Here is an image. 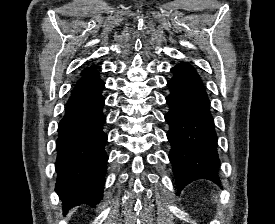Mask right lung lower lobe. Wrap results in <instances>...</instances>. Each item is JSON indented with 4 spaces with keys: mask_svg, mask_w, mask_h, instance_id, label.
Returning a JSON list of instances; mask_svg holds the SVG:
<instances>
[{
    "mask_svg": "<svg viewBox=\"0 0 275 224\" xmlns=\"http://www.w3.org/2000/svg\"><path fill=\"white\" fill-rule=\"evenodd\" d=\"M104 88L98 72L80 78L58 126L55 190L66 210L80 204L95 207L103 198L108 160Z\"/></svg>",
    "mask_w": 275,
    "mask_h": 224,
    "instance_id": "1",
    "label": "right lung lower lobe"
}]
</instances>
